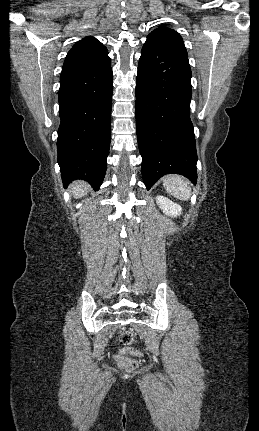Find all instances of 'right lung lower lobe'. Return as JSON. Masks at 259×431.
<instances>
[{"instance_id": "1", "label": "right lung lower lobe", "mask_w": 259, "mask_h": 431, "mask_svg": "<svg viewBox=\"0 0 259 431\" xmlns=\"http://www.w3.org/2000/svg\"><path fill=\"white\" fill-rule=\"evenodd\" d=\"M111 64L60 80L57 150L62 181L103 182L111 138Z\"/></svg>"}]
</instances>
